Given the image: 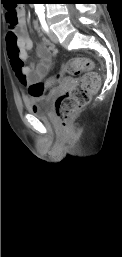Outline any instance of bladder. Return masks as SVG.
I'll return each mask as SVG.
<instances>
[{
    "mask_svg": "<svg viewBox=\"0 0 122 257\" xmlns=\"http://www.w3.org/2000/svg\"><path fill=\"white\" fill-rule=\"evenodd\" d=\"M26 110L40 118H46L50 115L52 103L48 95L33 96L25 100Z\"/></svg>",
    "mask_w": 122,
    "mask_h": 257,
    "instance_id": "1",
    "label": "bladder"
}]
</instances>
